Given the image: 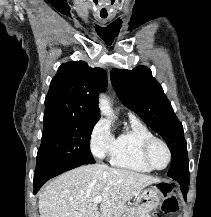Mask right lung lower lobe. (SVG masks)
<instances>
[{"label":"right lung lower lobe","mask_w":211,"mask_h":217,"mask_svg":"<svg viewBox=\"0 0 211 217\" xmlns=\"http://www.w3.org/2000/svg\"><path fill=\"white\" fill-rule=\"evenodd\" d=\"M79 166L81 164L55 163L36 167L34 172V193L49 179Z\"/></svg>","instance_id":"98d812e1"}]
</instances>
